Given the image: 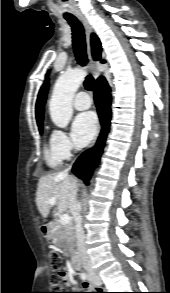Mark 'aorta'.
<instances>
[{
  "label": "aorta",
  "mask_w": 170,
  "mask_h": 293,
  "mask_svg": "<svg viewBox=\"0 0 170 293\" xmlns=\"http://www.w3.org/2000/svg\"><path fill=\"white\" fill-rule=\"evenodd\" d=\"M86 72L75 69L63 73L55 83L49 102L50 116L59 128H66L71 120L73 109L72 100L75 92L84 81Z\"/></svg>",
  "instance_id": "obj_1"
}]
</instances>
